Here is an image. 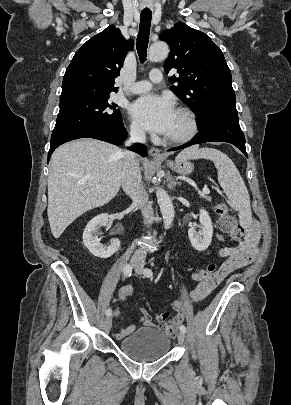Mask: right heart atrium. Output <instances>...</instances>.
Masks as SVG:
<instances>
[{"label": "right heart atrium", "instance_id": "right-heart-atrium-1", "mask_svg": "<svg viewBox=\"0 0 291 405\" xmlns=\"http://www.w3.org/2000/svg\"><path fill=\"white\" fill-rule=\"evenodd\" d=\"M130 135L135 139H142L144 137V131L135 122H132L129 127Z\"/></svg>", "mask_w": 291, "mask_h": 405}]
</instances>
